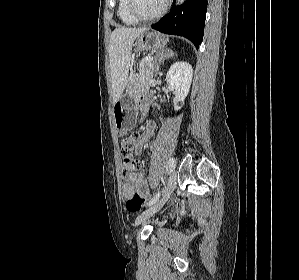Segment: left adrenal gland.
<instances>
[{
    "mask_svg": "<svg viewBox=\"0 0 299 280\" xmlns=\"http://www.w3.org/2000/svg\"><path fill=\"white\" fill-rule=\"evenodd\" d=\"M172 57H174V53L170 49H165L158 54V62L156 63L155 75H157V72L159 71L161 64H163L165 60L170 59Z\"/></svg>",
    "mask_w": 299,
    "mask_h": 280,
    "instance_id": "obj_1",
    "label": "left adrenal gland"
}]
</instances>
